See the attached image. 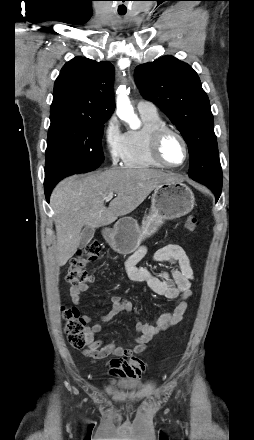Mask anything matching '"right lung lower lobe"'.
<instances>
[{
  "label": "right lung lower lobe",
  "mask_w": 254,
  "mask_h": 440,
  "mask_svg": "<svg viewBox=\"0 0 254 440\" xmlns=\"http://www.w3.org/2000/svg\"><path fill=\"white\" fill-rule=\"evenodd\" d=\"M54 186H55V184L54 185H45V196H46L47 202H49V197H50L51 191Z\"/></svg>",
  "instance_id": "98d812e1"
}]
</instances>
